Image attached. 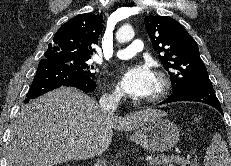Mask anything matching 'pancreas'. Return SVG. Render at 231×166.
Returning a JSON list of instances; mask_svg holds the SVG:
<instances>
[{
    "label": "pancreas",
    "instance_id": "pancreas-1",
    "mask_svg": "<svg viewBox=\"0 0 231 166\" xmlns=\"http://www.w3.org/2000/svg\"><path fill=\"white\" fill-rule=\"evenodd\" d=\"M175 163L180 164L175 159H172L171 156H161V157H158V161H154V162H152L150 164L152 166H160V165H163V166H175ZM186 165L194 166L193 164L189 163L188 161L184 164V166H186Z\"/></svg>",
    "mask_w": 231,
    "mask_h": 166
}]
</instances>
